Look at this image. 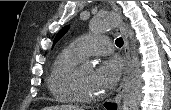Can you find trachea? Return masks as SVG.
Listing matches in <instances>:
<instances>
[{"label": "trachea", "instance_id": "trachea-1", "mask_svg": "<svg viewBox=\"0 0 171 110\" xmlns=\"http://www.w3.org/2000/svg\"><path fill=\"white\" fill-rule=\"evenodd\" d=\"M115 43L118 47H122L123 46V39L121 37H119L116 39Z\"/></svg>", "mask_w": 171, "mask_h": 110}]
</instances>
